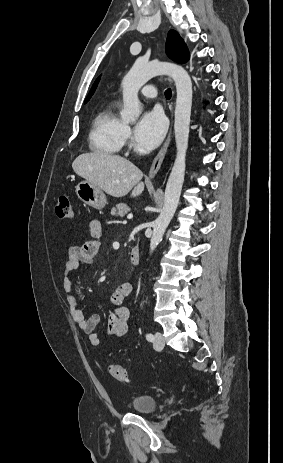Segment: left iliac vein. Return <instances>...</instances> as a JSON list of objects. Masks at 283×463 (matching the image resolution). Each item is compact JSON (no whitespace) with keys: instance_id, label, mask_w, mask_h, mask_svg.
<instances>
[{"instance_id":"obj_1","label":"left iliac vein","mask_w":283,"mask_h":463,"mask_svg":"<svg viewBox=\"0 0 283 463\" xmlns=\"http://www.w3.org/2000/svg\"><path fill=\"white\" fill-rule=\"evenodd\" d=\"M153 346L156 350H161L165 346V340L160 332L155 333Z\"/></svg>"}]
</instances>
